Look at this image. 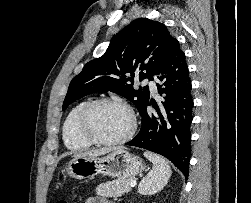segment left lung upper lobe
<instances>
[{"label": "left lung upper lobe", "instance_id": "1", "mask_svg": "<svg viewBox=\"0 0 251 203\" xmlns=\"http://www.w3.org/2000/svg\"><path fill=\"white\" fill-rule=\"evenodd\" d=\"M175 40L163 23L132 21L112 38L103 56L88 62L72 79L63 110L86 95L111 91L130 100L140 113L149 101V88L135 90V76L153 80Z\"/></svg>", "mask_w": 251, "mask_h": 203}]
</instances>
